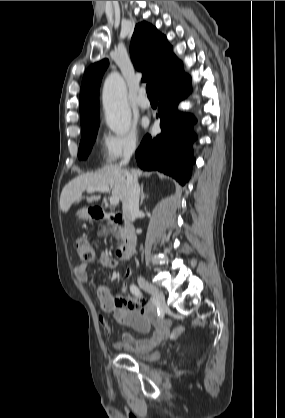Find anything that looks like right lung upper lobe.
<instances>
[{
	"label": "right lung upper lobe",
	"instance_id": "cb5924a9",
	"mask_svg": "<svg viewBox=\"0 0 285 418\" xmlns=\"http://www.w3.org/2000/svg\"><path fill=\"white\" fill-rule=\"evenodd\" d=\"M130 55L134 66L143 72L142 81L151 80L157 93L183 73L182 63L173 54L166 37L146 22L135 26ZM108 65V59L98 61L83 76L80 89L81 126L99 120V88Z\"/></svg>",
	"mask_w": 285,
	"mask_h": 418
}]
</instances>
